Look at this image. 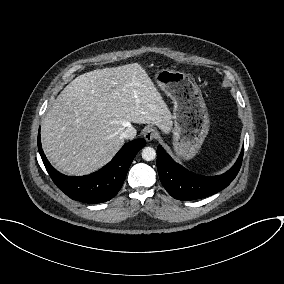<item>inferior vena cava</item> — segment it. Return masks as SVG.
Listing matches in <instances>:
<instances>
[{"label":"inferior vena cava","mask_w":284,"mask_h":284,"mask_svg":"<svg viewBox=\"0 0 284 284\" xmlns=\"http://www.w3.org/2000/svg\"><path fill=\"white\" fill-rule=\"evenodd\" d=\"M136 129L132 126L125 129V131L121 134V138L123 139H133L136 136Z\"/></svg>","instance_id":"inferior-vena-cava-1"}]
</instances>
